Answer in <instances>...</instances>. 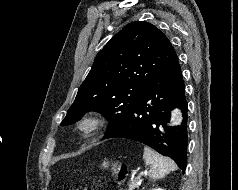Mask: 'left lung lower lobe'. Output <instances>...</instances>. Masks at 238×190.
Returning <instances> with one entry per match:
<instances>
[{"mask_svg": "<svg viewBox=\"0 0 238 190\" xmlns=\"http://www.w3.org/2000/svg\"><path fill=\"white\" fill-rule=\"evenodd\" d=\"M177 55L151 80L124 119L104 139L139 141L172 158L184 172L187 165V101ZM183 113L181 125L169 126L171 111Z\"/></svg>", "mask_w": 238, "mask_h": 190, "instance_id": "left-lung-lower-lobe-1", "label": "left lung lower lobe"}]
</instances>
